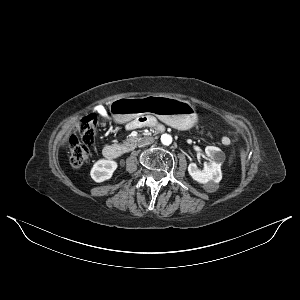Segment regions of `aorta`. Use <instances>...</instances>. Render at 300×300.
Segmentation results:
<instances>
[{"label": "aorta", "mask_w": 300, "mask_h": 300, "mask_svg": "<svg viewBox=\"0 0 300 300\" xmlns=\"http://www.w3.org/2000/svg\"><path fill=\"white\" fill-rule=\"evenodd\" d=\"M161 142L163 145H166V146L170 145L172 143V136L169 134H163L161 136Z\"/></svg>", "instance_id": "obj_1"}]
</instances>
